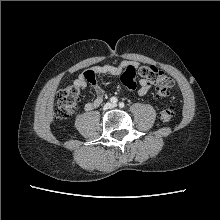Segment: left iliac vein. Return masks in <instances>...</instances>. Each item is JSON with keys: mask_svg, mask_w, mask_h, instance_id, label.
<instances>
[{"mask_svg": "<svg viewBox=\"0 0 220 220\" xmlns=\"http://www.w3.org/2000/svg\"><path fill=\"white\" fill-rule=\"evenodd\" d=\"M112 106H113V107H116V106H117V104H113Z\"/></svg>", "mask_w": 220, "mask_h": 220, "instance_id": "obj_1", "label": "left iliac vein"}]
</instances>
